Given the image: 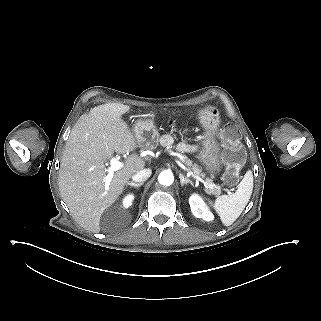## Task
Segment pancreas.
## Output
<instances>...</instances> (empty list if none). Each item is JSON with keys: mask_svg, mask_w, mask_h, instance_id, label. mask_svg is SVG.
I'll list each match as a JSON object with an SVG mask.
<instances>
[{"mask_svg": "<svg viewBox=\"0 0 321 321\" xmlns=\"http://www.w3.org/2000/svg\"><path fill=\"white\" fill-rule=\"evenodd\" d=\"M184 164L188 167L189 170H192L194 172L195 176L205 177V174L202 172V169L197 164L193 163L190 159H188L186 156H184ZM206 182L208 186H212L205 188V192L207 194H213L216 196H219L221 194L220 186H214L212 179L206 178Z\"/></svg>", "mask_w": 321, "mask_h": 321, "instance_id": "obj_1", "label": "pancreas"}]
</instances>
